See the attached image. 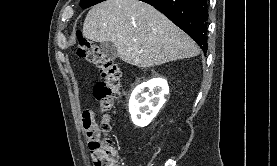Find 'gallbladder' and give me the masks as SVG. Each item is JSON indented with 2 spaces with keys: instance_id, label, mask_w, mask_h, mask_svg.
<instances>
[{
  "instance_id": "bac80fb5",
  "label": "gallbladder",
  "mask_w": 277,
  "mask_h": 166,
  "mask_svg": "<svg viewBox=\"0 0 277 166\" xmlns=\"http://www.w3.org/2000/svg\"><path fill=\"white\" fill-rule=\"evenodd\" d=\"M102 53L108 59H115L117 57V49L115 45L110 41H105L100 44Z\"/></svg>"
}]
</instances>
